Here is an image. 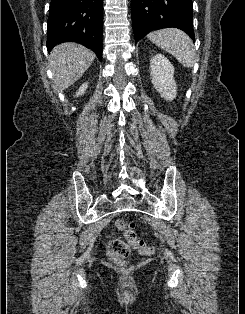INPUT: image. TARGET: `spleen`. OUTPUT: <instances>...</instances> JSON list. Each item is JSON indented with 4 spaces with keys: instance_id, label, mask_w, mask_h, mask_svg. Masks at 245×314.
Wrapping results in <instances>:
<instances>
[{
    "instance_id": "spleen-1",
    "label": "spleen",
    "mask_w": 245,
    "mask_h": 314,
    "mask_svg": "<svg viewBox=\"0 0 245 314\" xmlns=\"http://www.w3.org/2000/svg\"><path fill=\"white\" fill-rule=\"evenodd\" d=\"M148 39L156 46L173 55L184 67L191 68L196 61V53L190 37L176 28L153 31Z\"/></svg>"
}]
</instances>
